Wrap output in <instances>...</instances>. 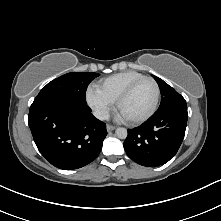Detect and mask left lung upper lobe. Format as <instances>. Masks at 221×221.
<instances>
[{"label": "left lung upper lobe", "instance_id": "obj_1", "mask_svg": "<svg viewBox=\"0 0 221 221\" xmlns=\"http://www.w3.org/2000/svg\"><path fill=\"white\" fill-rule=\"evenodd\" d=\"M154 79L159 85L161 91V103L157 112L165 110L170 107L186 105L185 99L177 93L171 86H169L162 79L154 76Z\"/></svg>", "mask_w": 221, "mask_h": 221}]
</instances>
